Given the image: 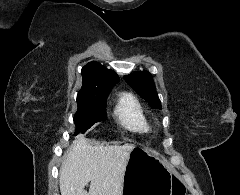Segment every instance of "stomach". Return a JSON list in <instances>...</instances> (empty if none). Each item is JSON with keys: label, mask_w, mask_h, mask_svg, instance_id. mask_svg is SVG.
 <instances>
[{"label": "stomach", "mask_w": 240, "mask_h": 195, "mask_svg": "<svg viewBox=\"0 0 240 195\" xmlns=\"http://www.w3.org/2000/svg\"><path fill=\"white\" fill-rule=\"evenodd\" d=\"M171 171L155 149L134 145L129 153L122 195H171Z\"/></svg>", "instance_id": "obj_1"}]
</instances>
